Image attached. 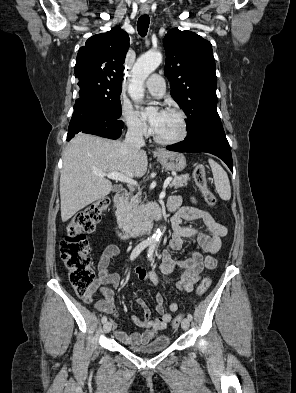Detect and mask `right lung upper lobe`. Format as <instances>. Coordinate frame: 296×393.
I'll return each instance as SVG.
<instances>
[{
    "instance_id": "obj_1",
    "label": "right lung upper lobe",
    "mask_w": 296,
    "mask_h": 393,
    "mask_svg": "<svg viewBox=\"0 0 296 393\" xmlns=\"http://www.w3.org/2000/svg\"><path fill=\"white\" fill-rule=\"evenodd\" d=\"M129 36L119 26L107 33L90 37L77 54L75 77L95 79L112 88L120 89Z\"/></svg>"
}]
</instances>
